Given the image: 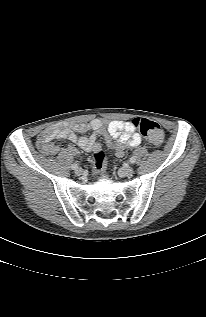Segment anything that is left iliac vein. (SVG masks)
Listing matches in <instances>:
<instances>
[{"label": "left iliac vein", "mask_w": 206, "mask_h": 317, "mask_svg": "<svg viewBox=\"0 0 206 317\" xmlns=\"http://www.w3.org/2000/svg\"><path fill=\"white\" fill-rule=\"evenodd\" d=\"M133 173H134V169L131 166L125 167L119 170V175L121 177H130L133 175Z\"/></svg>", "instance_id": "obj_1"}]
</instances>
